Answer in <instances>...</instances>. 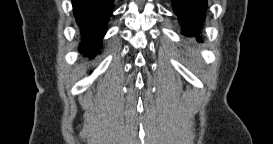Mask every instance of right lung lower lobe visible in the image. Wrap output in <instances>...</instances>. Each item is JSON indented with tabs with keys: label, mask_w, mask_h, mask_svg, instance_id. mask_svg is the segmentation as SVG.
I'll return each instance as SVG.
<instances>
[{
	"label": "right lung lower lobe",
	"mask_w": 273,
	"mask_h": 144,
	"mask_svg": "<svg viewBox=\"0 0 273 144\" xmlns=\"http://www.w3.org/2000/svg\"><path fill=\"white\" fill-rule=\"evenodd\" d=\"M72 5L81 29V53L94 57L101 47L114 0H72Z\"/></svg>",
	"instance_id": "98d812e1"
}]
</instances>
